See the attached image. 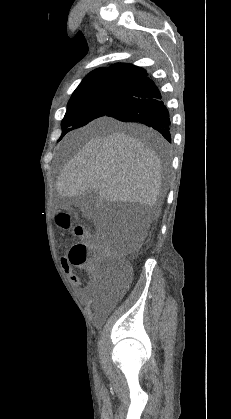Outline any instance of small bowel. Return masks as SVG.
Returning a JSON list of instances; mask_svg holds the SVG:
<instances>
[{"instance_id":"obj_1","label":"small bowel","mask_w":231,"mask_h":419,"mask_svg":"<svg viewBox=\"0 0 231 419\" xmlns=\"http://www.w3.org/2000/svg\"><path fill=\"white\" fill-rule=\"evenodd\" d=\"M61 262L64 269L69 270L71 268V264L68 263L67 259L63 258ZM88 268L90 269L89 266ZM70 280L75 285H80L83 281L82 277L79 276L78 274H70Z\"/></svg>"}]
</instances>
